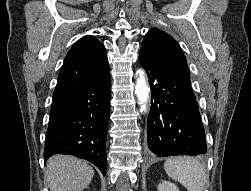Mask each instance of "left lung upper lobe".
Segmentation results:
<instances>
[{
  "label": "left lung upper lobe",
  "mask_w": 251,
  "mask_h": 191,
  "mask_svg": "<svg viewBox=\"0 0 251 191\" xmlns=\"http://www.w3.org/2000/svg\"><path fill=\"white\" fill-rule=\"evenodd\" d=\"M140 54L150 57L165 69L190 77L185 55L179 44L166 32L152 28L145 35Z\"/></svg>",
  "instance_id": "5c2ea615"
}]
</instances>
